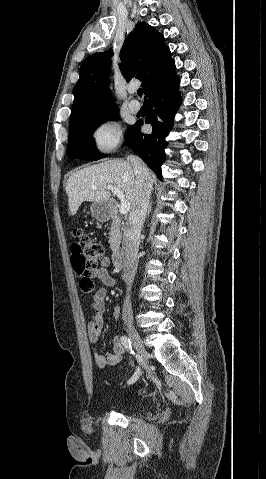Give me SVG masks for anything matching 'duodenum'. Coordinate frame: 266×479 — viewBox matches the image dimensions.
<instances>
[{
  "label": "duodenum",
  "mask_w": 266,
  "mask_h": 479,
  "mask_svg": "<svg viewBox=\"0 0 266 479\" xmlns=\"http://www.w3.org/2000/svg\"><path fill=\"white\" fill-rule=\"evenodd\" d=\"M115 205V202H111L109 204V207L111 208L112 206ZM113 265L116 271H120L124 268L125 266V258L122 252L117 251L113 255Z\"/></svg>",
  "instance_id": "1"
}]
</instances>
